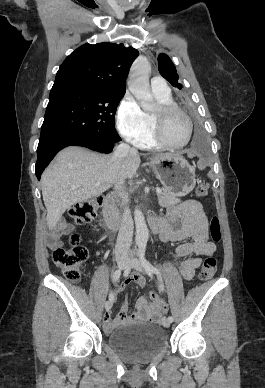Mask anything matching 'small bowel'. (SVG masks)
I'll return each mask as SVG.
<instances>
[{
    "instance_id": "1",
    "label": "small bowel",
    "mask_w": 265,
    "mask_h": 388,
    "mask_svg": "<svg viewBox=\"0 0 265 388\" xmlns=\"http://www.w3.org/2000/svg\"><path fill=\"white\" fill-rule=\"evenodd\" d=\"M165 224L160 238L165 242H183L176 247V254L182 259L180 274L185 280H191L202 262V257L212 256L216 251V245L208 239V219L204 213L202 204L196 200H188L166 210L165 216L160 217ZM73 224L60 218L51 227L49 238L52 248L60 246L58 238L73 229ZM135 284L138 287L146 285V278L135 273L118 285L112 294L113 299L128 285ZM109 294V295H110ZM138 311L128 313V302L125 301L119 314L112 319L109 312L104 316L103 327L106 332L125 323H139L145 321H159L161 308L155 303H148L145 297L137 301Z\"/></svg>"
}]
</instances>
